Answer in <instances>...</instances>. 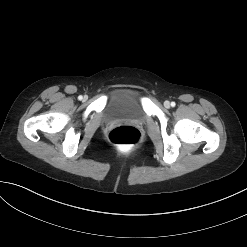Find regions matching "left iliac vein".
I'll return each instance as SVG.
<instances>
[{
  "instance_id": "1",
  "label": "left iliac vein",
  "mask_w": 247,
  "mask_h": 247,
  "mask_svg": "<svg viewBox=\"0 0 247 247\" xmlns=\"http://www.w3.org/2000/svg\"><path fill=\"white\" fill-rule=\"evenodd\" d=\"M170 105H171V104H170L169 101H165V102H164V106H165L166 108H170Z\"/></svg>"
}]
</instances>
